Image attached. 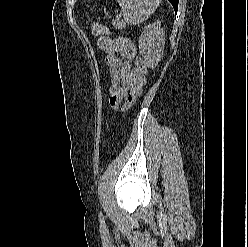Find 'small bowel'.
<instances>
[{"instance_id":"c3829d8e","label":"small bowel","mask_w":248,"mask_h":247,"mask_svg":"<svg viewBox=\"0 0 248 247\" xmlns=\"http://www.w3.org/2000/svg\"><path fill=\"white\" fill-rule=\"evenodd\" d=\"M98 45L104 53L109 78V104L112 108H128L141 95L144 78L132 62L139 56L136 45L127 38L102 37Z\"/></svg>"}]
</instances>
